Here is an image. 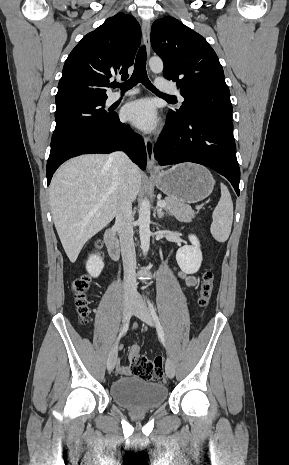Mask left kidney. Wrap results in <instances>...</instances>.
Masks as SVG:
<instances>
[{
    "label": "left kidney",
    "mask_w": 289,
    "mask_h": 465,
    "mask_svg": "<svg viewBox=\"0 0 289 465\" xmlns=\"http://www.w3.org/2000/svg\"><path fill=\"white\" fill-rule=\"evenodd\" d=\"M191 245H185L178 249L176 260L181 270L186 274L197 273L202 263V252L198 238L190 234L188 236Z\"/></svg>",
    "instance_id": "5707ae66"
}]
</instances>
